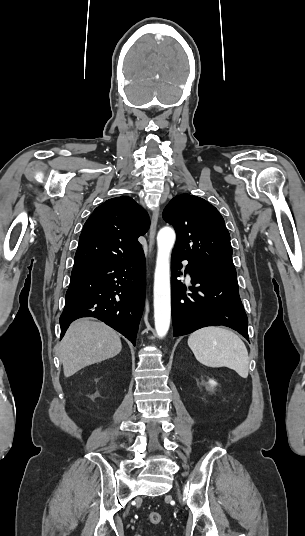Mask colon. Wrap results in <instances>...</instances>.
I'll use <instances>...</instances> for the list:
<instances>
[{
    "instance_id": "colon-1",
    "label": "colon",
    "mask_w": 305,
    "mask_h": 536,
    "mask_svg": "<svg viewBox=\"0 0 305 536\" xmlns=\"http://www.w3.org/2000/svg\"><path fill=\"white\" fill-rule=\"evenodd\" d=\"M149 521L152 524H160L161 522V515L157 512H151L149 514Z\"/></svg>"
}]
</instances>
